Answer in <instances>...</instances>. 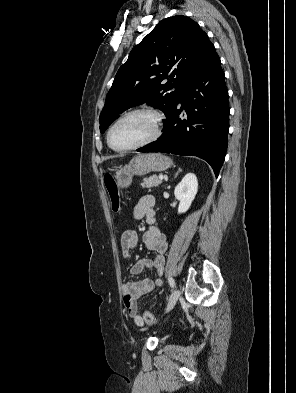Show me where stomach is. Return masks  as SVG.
<instances>
[{"label": "stomach", "instance_id": "obj_1", "mask_svg": "<svg viewBox=\"0 0 296 393\" xmlns=\"http://www.w3.org/2000/svg\"><path fill=\"white\" fill-rule=\"evenodd\" d=\"M172 160L161 153H149L135 156L128 165L116 172L118 187L130 186L133 176H143L150 172H160L168 169Z\"/></svg>", "mask_w": 296, "mask_h": 393}]
</instances>
